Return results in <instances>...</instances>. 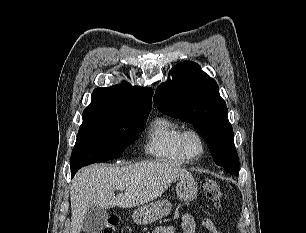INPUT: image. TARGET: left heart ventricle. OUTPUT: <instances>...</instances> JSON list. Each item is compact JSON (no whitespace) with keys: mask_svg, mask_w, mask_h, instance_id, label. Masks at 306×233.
I'll use <instances>...</instances> for the list:
<instances>
[{"mask_svg":"<svg viewBox=\"0 0 306 233\" xmlns=\"http://www.w3.org/2000/svg\"><path fill=\"white\" fill-rule=\"evenodd\" d=\"M187 149L190 155L192 156L198 155L201 150L199 141L195 137H190L187 140Z\"/></svg>","mask_w":306,"mask_h":233,"instance_id":"1","label":"left heart ventricle"}]
</instances>
